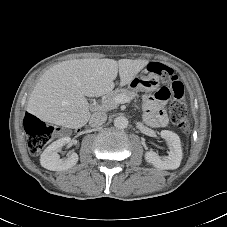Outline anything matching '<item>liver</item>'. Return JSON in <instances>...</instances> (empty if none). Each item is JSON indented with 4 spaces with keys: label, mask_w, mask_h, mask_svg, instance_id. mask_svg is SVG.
Instances as JSON below:
<instances>
[{
    "label": "liver",
    "mask_w": 227,
    "mask_h": 227,
    "mask_svg": "<svg viewBox=\"0 0 227 227\" xmlns=\"http://www.w3.org/2000/svg\"><path fill=\"white\" fill-rule=\"evenodd\" d=\"M148 60L75 59L47 70L30 94L27 111L40 120L65 128H81L91 114L88 97L111 92L119 73L120 86L128 85Z\"/></svg>",
    "instance_id": "1"
}]
</instances>
